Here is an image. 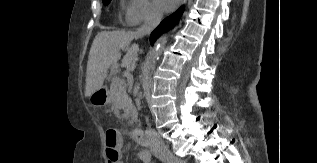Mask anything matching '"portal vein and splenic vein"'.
Returning <instances> with one entry per match:
<instances>
[{"instance_id":"1","label":"portal vein and splenic vein","mask_w":317,"mask_h":163,"mask_svg":"<svg viewBox=\"0 0 317 163\" xmlns=\"http://www.w3.org/2000/svg\"><path fill=\"white\" fill-rule=\"evenodd\" d=\"M112 83H113V84H120L121 81H120L119 78H113Z\"/></svg>"}]
</instances>
